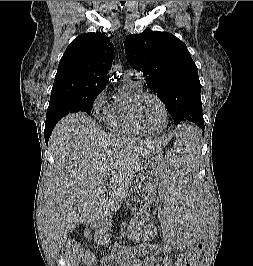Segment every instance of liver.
Segmentation results:
<instances>
[{"label":"liver","instance_id":"liver-1","mask_svg":"<svg viewBox=\"0 0 253 266\" xmlns=\"http://www.w3.org/2000/svg\"><path fill=\"white\" fill-rule=\"evenodd\" d=\"M167 143L107 134L84 113L61 119L49 140L54 163L43 203L52 255L58 256L79 224L97 226L118 211L143 163Z\"/></svg>","mask_w":253,"mask_h":266}]
</instances>
